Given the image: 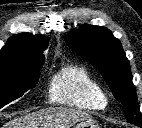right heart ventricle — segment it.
I'll return each instance as SVG.
<instances>
[{
	"instance_id": "e07e8e85",
	"label": "right heart ventricle",
	"mask_w": 142,
	"mask_h": 128,
	"mask_svg": "<svg viewBox=\"0 0 142 128\" xmlns=\"http://www.w3.org/2000/svg\"><path fill=\"white\" fill-rule=\"evenodd\" d=\"M49 100L84 110H103L108 98L101 84L83 66L67 64L52 76L49 86Z\"/></svg>"
}]
</instances>
